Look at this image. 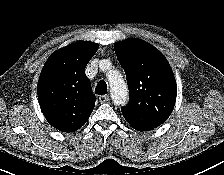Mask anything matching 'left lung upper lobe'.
Segmentation results:
<instances>
[{"label":"left lung upper lobe","mask_w":224,"mask_h":175,"mask_svg":"<svg viewBox=\"0 0 224 175\" xmlns=\"http://www.w3.org/2000/svg\"><path fill=\"white\" fill-rule=\"evenodd\" d=\"M129 88V102L121 108L125 120L139 131L164 123L173 111L177 88L165 57L152 45L136 38L114 46Z\"/></svg>","instance_id":"1"}]
</instances>
